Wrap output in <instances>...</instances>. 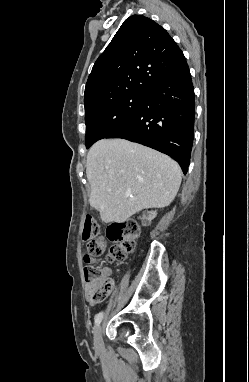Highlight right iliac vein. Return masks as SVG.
<instances>
[{
  "instance_id": "right-iliac-vein-1",
  "label": "right iliac vein",
  "mask_w": 249,
  "mask_h": 382,
  "mask_svg": "<svg viewBox=\"0 0 249 382\" xmlns=\"http://www.w3.org/2000/svg\"><path fill=\"white\" fill-rule=\"evenodd\" d=\"M94 346L97 350L103 348L102 327L97 326L94 330Z\"/></svg>"
}]
</instances>
